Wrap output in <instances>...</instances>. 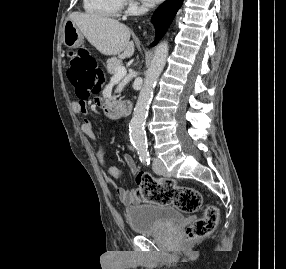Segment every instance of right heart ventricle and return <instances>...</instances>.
<instances>
[{"label":"right heart ventricle","mask_w":286,"mask_h":269,"mask_svg":"<svg viewBox=\"0 0 286 269\" xmlns=\"http://www.w3.org/2000/svg\"><path fill=\"white\" fill-rule=\"evenodd\" d=\"M123 0H83L86 13L98 18H117L123 8Z\"/></svg>","instance_id":"right-heart-ventricle-1"}]
</instances>
